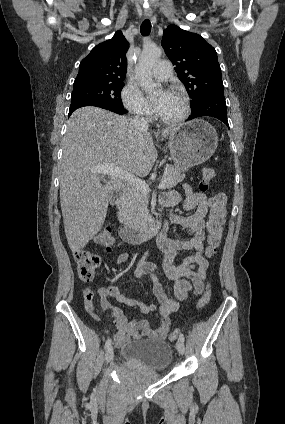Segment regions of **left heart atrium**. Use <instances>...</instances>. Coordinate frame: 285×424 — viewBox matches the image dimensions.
Wrapping results in <instances>:
<instances>
[{
  "label": "left heart atrium",
  "mask_w": 285,
  "mask_h": 424,
  "mask_svg": "<svg viewBox=\"0 0 285 424\" xmlns=\"http://www.w3.org/2000/svg\"><path fill=\"white\" fill-rule=\"evenodd\" d=\"M168 94L169 93L164 92L163 95H162V100L161 101H163L168 96ZM155 107H156V110H157V108L159 107V104L155 105Z\"/></svg>",
  "instance_id": "39dd6f15"
}]
</instances>
